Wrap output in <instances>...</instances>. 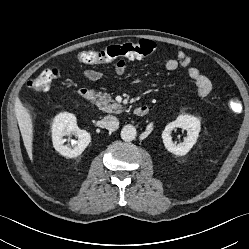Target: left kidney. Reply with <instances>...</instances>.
<instances>
[{"label":"left kidney","instance_id":"1","mask_svg":"<svg viewBox=\"0 0 249 249\" xmlns=\"http://www.w3.org/2000/svg\"><path fill=\"white\" fill-rule=\"evenodd\" d=\"M175 128H182L187 131V136L180 144H175L172 141L171 133ZM200 129V121L198 118L188 114L179 115L175 121L166 125L164 131L162 132V139L165 148L169 152L178 156L187 154L196 143Z\"/></svg>","mask_w":249,"mask_h":249}]
</instances>
